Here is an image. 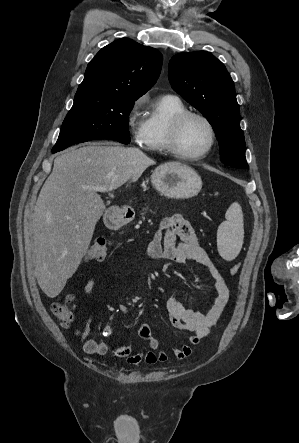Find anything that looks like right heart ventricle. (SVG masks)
Returning <instances> with one entry per match:
<instances>
[{
  "label": "right heart ventricle",
  "instance_id": "1",
  "mask_svg": "<svg viewBox=\"0 0 299 443\" xmlns=\"http://www.w3.org/2000/svg\"><path fill=\"white\" fill-rule=\"evenodd\" d=\"M185 110V105L178 97L165 95L157 99L145 120L141 146L150 152H168L170 122L176 114Z\"/></svg>",
  "mask_w": 299,
  "mask_h": 443
}]
</instances>
